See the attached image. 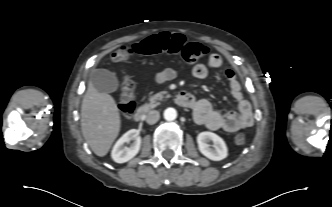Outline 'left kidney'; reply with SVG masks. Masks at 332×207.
<instances>
[{
    "mask_svg": "<svg viewBox=\"0 0 332 207\" xmlns=\"http://www.w3.org/2000/svg\"><path fill=\"white\" fill-rule=\"evenodd\" d=\"M211 140L214 145L213 148L207 143ZM197 143L199 151L213 161H220L227 157V146L224 140L215 133L212 132H201L197 136Z\"/></svg>",
    "mask_w": 332,
    "mask_h": 207,
    "instance_id": "5707ae66",
    "label": "left kidney"
}]
</instances>
